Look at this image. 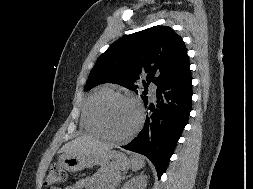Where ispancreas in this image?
I'll return each mask as SVG.
<instances>
[{
  "label": "pancreas",
  "mask_w": 253,
  "mask_h": 189,
  "mask_svg": "<svg viewBox=\"0 0 253 189\" xmlns=\"http://www.w3.org/2000/svg\"><path fill=\"white\" fill-rule=\"evenodd\" d=\"M96 176L100 177L102 182L107 186L113 187L120 179V172L117 170L100 168Z\"/></svg>",
  "instance_id": "1"
}]
</instances>
